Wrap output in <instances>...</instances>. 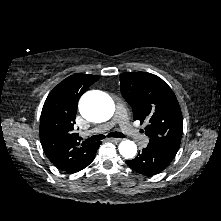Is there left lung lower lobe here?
<instances>
[{"mask_svg":"<svg viewBox=\"0 0 221 221\" xmlns=\"http://www.w3.org/2000/svg\"><path fill=\"white\" fill-rule=\"evenodd\" d=\"M175 157L158 147L148 145L133 160L126 161L127 165L143 175H155L163 171Z\"/></svg>","mask_w":221,"mask_h":221,"instance_id":"left-lung-lower-lobe-1","label":"left lung lower lobe"}]
</instances>
